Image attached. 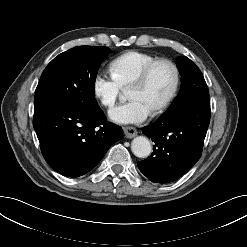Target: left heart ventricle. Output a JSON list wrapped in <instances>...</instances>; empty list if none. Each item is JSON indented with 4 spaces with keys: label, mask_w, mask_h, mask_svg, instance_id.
Masks as SVG:
<instances>
[{
    "label": "left heart ventricle",
    "mask_w": 247,
    "mask_h": 247,
    "mask_svg": "<svg viewBox=\"0 0 247 247\" xmlns=\"http://www.w3.org/2000/svg\"><path fill=\"white\" fill-rule=\"evenodd\" d=\"M173 80L172 70L166 65L155 68L147 83L139 88L129 89L130 99H137L151 110L167 95Z\"/></svg>",
    "instance_id": "1"
}]
</instances>
